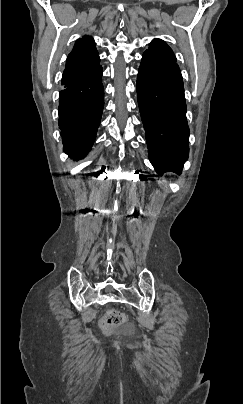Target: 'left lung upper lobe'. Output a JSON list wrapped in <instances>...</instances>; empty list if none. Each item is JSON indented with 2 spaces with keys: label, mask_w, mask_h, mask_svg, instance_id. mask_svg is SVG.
Wrapping results in <instances>:
<instances>
[{
  "label": "left lung upper lobe",
  "mask_w": 243,
  "mask_h": 404,
  "mask_svg": "<svg viewBox=\"0 0 243 404\" xmlns=\"http://www.w3.org/2000/svg\"><path fill=\"white\" fill-rule=\"evenodd\" d=\"M157 58L176 62V57L171 48L162 40L155 39L150 43L149 49L145 51Z\"/></svg>",
  "instance_id": "1"
}]
</instances>
